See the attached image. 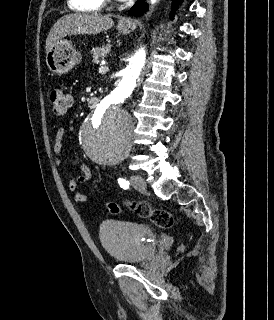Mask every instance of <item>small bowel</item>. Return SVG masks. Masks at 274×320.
<instances>
[{
    "mask_svg": "<svg viewBox=\"0 0 274 320\" xmlns=\"http://www.w3.org/2000/svg\"><path fill=\"white\" fill-rule=\"evenodd\" d=\"M65 128L59 127L55 133V141L53 146V155L57 165L62 163L63 158V143H64ZM81 175L77 177H69L67 181L68 191L75 193V200L77 202H87L89 196L83 193L77 192L78 186L90 180L91 170L85 163L80 164Z\"/></svg>",
    "mask_w": 274,
    "mask_h": 320,
    "instance_id": "small-bowel-1",
    "label": "small bowel"
}]
</instances>
